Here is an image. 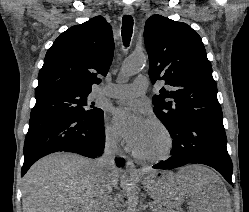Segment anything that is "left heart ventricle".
<instances>
[{"instance_id": "b2bd125f", "label": "left heart ventricle", "mask_w": 249, "mask_h": 212, "mask_svg": "<svg viewBox=\"0 0 249 212\" xmlns=\"http://www.w3.org/2000/svg\"><path fill=\"white\" fill-rule=\"evenodd\" d=\"M166 148V140L161 130L154 124H146L139 149L136 153L141 155H155Z\"/></svg>"}]
</instances>
